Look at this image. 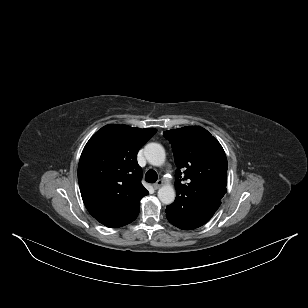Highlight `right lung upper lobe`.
Wrapping results in <instances>:
<instances>
[{
	"mask_svg": "<svg viewBox=\"0 0 308 308\" xmlns=\"http://www.w3.org/2000/svg\"><path fill=\"white\" fill-rule=\"evenodd\" d=\"M156 131L106 125L85 145L78 165L79 187L87 210L103 225L121 227L138 216L140 200L148 191L141 184L137 153Z\"/></svg>",
	"mask_w": 308,
	"mask_h": 308,
	"instance_id": "cb5924a9",
	"label": "right lung upper lobe"
}]
</instances>
